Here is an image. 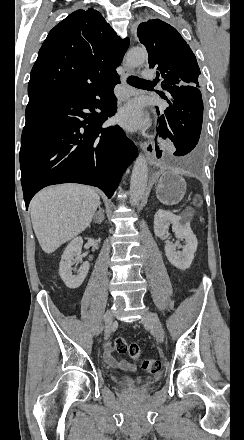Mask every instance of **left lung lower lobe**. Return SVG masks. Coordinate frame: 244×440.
Here are the masks:
<instances>
[{"instance_id":"1","label":"left lung lower lobe","mask_w":244,"mask_h":440,"mask_svg":"<svg viewBox=\"0 0 244 440\" xmlns=\"http://www.w3.org/2000/svg\"><path fill=\"white\" fill-rule=\"evenodd\" d=\"M162 87L169 94L168 97L164 94L160 96L170 106L159 118L158 133L162 138L169 137L174 143L175 156H183L196 147L201 133L203 101L200 86L162 84ZM156 109L159 114V108ZM156 154L158 158L161 157L158 148Z\"/></svg>"}]
</instances>
